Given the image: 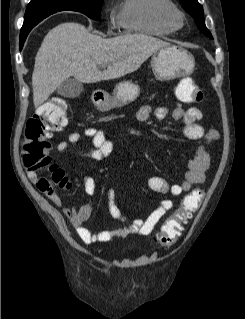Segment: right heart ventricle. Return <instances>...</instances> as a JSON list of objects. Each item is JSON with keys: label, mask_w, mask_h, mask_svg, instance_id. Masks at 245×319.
Instances as JSON below:
<instances>
[{"label": "right heart ventricle", "mask_w": 245, "mask_h": 319, "mask_svg": "<svg viewBox=\"0 0 245 319\" xmlns=\"http://www.w3.org/2000/svg\"><path fill=\"white\" fill-rule=\"evenodd\" d=\"M171 5L170 0H122L117 19L128 32L168 35L174 28L166 20L164 10Z\"/></svg>", "instance_id": "obj_1"}]
</instances>
